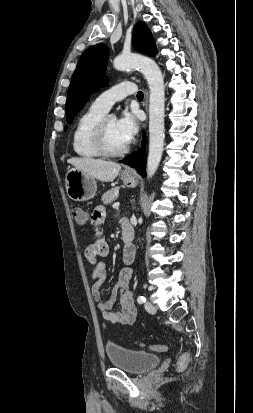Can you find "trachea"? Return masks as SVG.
<instances>
[{
    "label": "trachea",
    "mask_w": 253,
    "mask_h": 413,
    "mask_svg": "<svg viewBox=\"0 0 253 413\" xmlns=\"http://www.w3.org/2000/svg\"><path fill=\"white\" fill-rule=\"evenodd\" d=\"M137 99H138V100H143V93H142L141 91H139V92L137 93Z\"/></svg>",
    "instance_id": "trachea-1"
}]
</instances>
